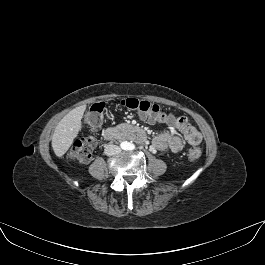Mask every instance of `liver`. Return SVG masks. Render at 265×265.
Returning <instances> with one entry per match:
<instances>
[{
    "instance_id": "6515ba94",
    "label": "liver",
    "mask_w": 265,
    "mask_h": 265,
    "mask_svg": "<svg viewBox=\"0 0 265 265\" xmlns=\"http://www.w3.org/2000/svg\"><path fill=\"white\" fill-rule=\"evenodd\" d=\"M85 109L80 106L71 110L57 124L52 135V148L57 157H62L77 137Z\"/></svg>"
}]
</instances>
